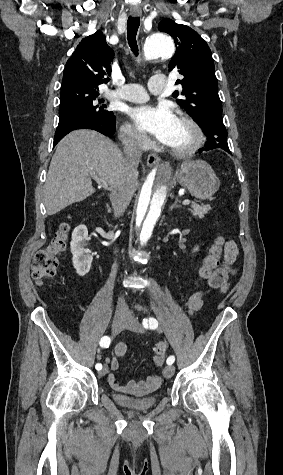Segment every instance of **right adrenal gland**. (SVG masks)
<instances>
[{
	"mask_svg": "<svg viewBox=\"0 0 283 475\" xmlns=\"http://www.w3.org/2000/svg\"><path fill=\"white\" fill-rule=\"evenodd\" d=\"M107 208H108V210H110V206H109V204H107Z\"/></svg>",
	"mask_w": 283,
	"mask_h": 475,
	"instance_id": "2a0ac1e0",
	"label": "right adrenal gland"
}]
</instances>
